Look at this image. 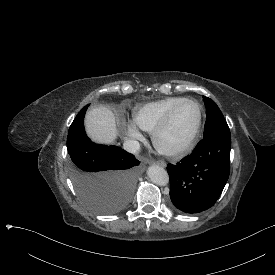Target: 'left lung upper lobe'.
Returning a JSON list of instances; mask_svg holds the SVG:
<instances>
[{
	"label": "left lung upper lobe",
	"instance_id": "5c2ea615",
	"mask_svg": "<svg viewBox=\"0 0 275 275\" xmlns=\"http://www.w3.org/2000/svg\"><path fill=\"white\" fill-rule=\"evenodd\" d=\"M203 98L207 110L203 139H208L221 133H230L226 120L216 103L208 97L204 96Z\"/></svg>",
	"mask_w": 275,
	"mask_h": 275
}]
</instances>
